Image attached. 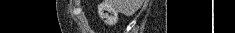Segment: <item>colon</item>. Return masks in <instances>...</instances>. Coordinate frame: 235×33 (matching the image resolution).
<instances>
[{
  "mask_svg": "<svg viewBox=\"0 0 235 33\" xmlns=\"http://www.w3.org/2000/svg\"><path fill=\"white\" fill-rule=\"evenodd\" d=\"M100 15L108 23H113L116 20L115 11L110 6H108L106 4L101 5Z\"/></svg>",
  "mask_w": 235,
  "mask_h": 33,
  "instance_id": "5ec220e1",
  "label": "colon"
}]
</instances>
